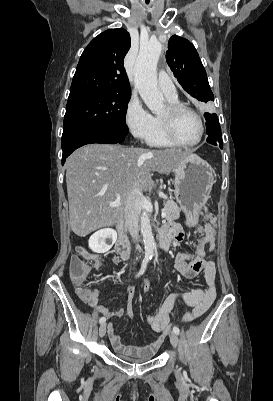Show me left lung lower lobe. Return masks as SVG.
<instances>
[{
  "label": "left lung lower lobe",
  "mask_w": 273,
  "mask_h": 401,
  "mask_svg": "<svg viewBox=\"0 0 273 401\" xmlns=\"http://www.w3.org/2000/svg\"><path fill=\"white\" fill-rule=\"evenodd\" d=\"M207 127V142L213 145H219L223 148L221 128L216 114L205 113Z\"/></svg>",
  "instance_id": "1"
}]
</instances>
